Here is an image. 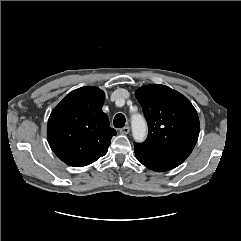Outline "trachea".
Masks as SVG:
<instances>
[{
	"label": "trachea",
	"instance_id": "3493384b",
	"mask_svg": "<svg viewBox=\"0 0 241 241\" xmlns=\"http://www.w3.org/2000/svg\"><path fill=\"white\" fill-rule=\"evenodd\" d=\"M126 122L125 116L121 113H118L115 117H114V121L113 124L116 128H122L124 127Z\"/></svg>",
	"mask_w": 241,
	"mask_h": 241
}]
</instances>
